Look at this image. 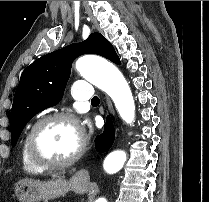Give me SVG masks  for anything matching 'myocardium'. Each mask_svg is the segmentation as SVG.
<instances>
[{
  "mask_svg": "<svg viewBox=\"0 0 209 202\" xmlns=\"http://www.w3.org/2000/svg\"><path fill=\"white\" fill-rule=\"evenodd\" d=\"M52 121H66V122L73 124L78 129L80 128V123H79L78 119L75 116L64 113V112H56V113L45 115V116L41 117L40 119H38L33 124V126L31 127V129L29 130L28 135H27L25 150H26V154L28 156V159L36 167H38L42 170H53V169L66 168V167L72 165L73 163H75L84 154L85 148H86V139H85L84 134L82 133L80 136V143H79L77 150L75 151V153L73 155H71L67 159H64V160L58 161V162H50V161H46V160L39 158L35 154V150H34V137H35L36 133L38 132V130L43 125H45L49 122H52Z\"/></svg>",
  "mask_w": 209,
  "mask_h": 202,
  "instance_id": "f54148a6",
  "label": "myocardium"
}]
</instances>
